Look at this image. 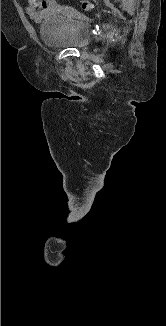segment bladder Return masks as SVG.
<instances>
[{"instance_id": "1", "label": "bladder", "mask_w": 166, "mask_h": 326, "mask_svg": "<svg viewBox=\"0 0 166 326\" xmlns=\"http://www.w3.org/2000/svg\"><path fill=\"white\" fill-rule=\"evenodd\" d=\"M39 29L43 43L51 48L84 49L90 43L89 27L78 17L53 15Z\"/></svg>"}]
</instances>
